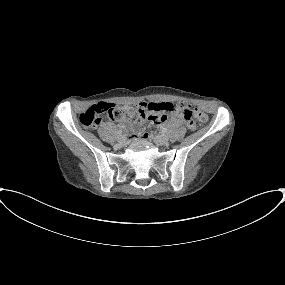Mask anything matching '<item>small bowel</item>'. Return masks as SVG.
Here are the masks:
<instances>
[{"mask_svg": "<svg viewBox=\"0 0 285 285\" xmlns=\"http://www.w3.org/2000/svg\"><path fill=\"white\" fill-rule=\"evenodd\" d=\"M148 105L151 108L152 112L149 115H142L138 121L133 124V127L142 131L144 121H148L151 124L163 125L168 121V116L170 114L169 107L173 103L168 101H149L147 103H142ZM175 122L177 124H184L189 129H194L195 125L193 121H187L182 118H176ZM123 128L128 126L121 124Z\"/></svg>", "mask_w": 285, "mask_h": 285, "instance_id": "obj_1", "label": "small bowel"}]
</instances>
